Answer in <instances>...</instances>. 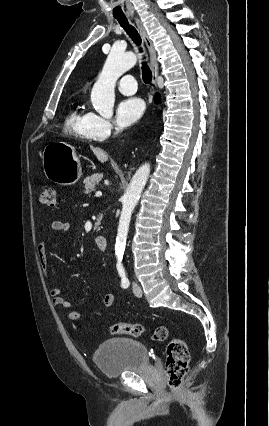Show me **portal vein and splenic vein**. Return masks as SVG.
I'll return each instance as SVG.
<instances>
[{
    "instance_id": "18ae733b",
    "label": "portal vein and splenic vein",
    "mask_w": 269,
    "mask_h": 426,
    "mask_svg": "<svg viewBox=\"0 0 269 426\" xmlns=\"http://www.w3.org/2000/svg\"><path fill=\"white\" fill-rule=\"evenodd\" d=\"M102 195V192L98 191L96 192V197H100Z\"/></svg>"
}]
</instances>
